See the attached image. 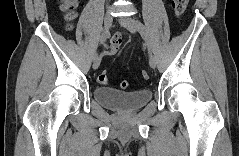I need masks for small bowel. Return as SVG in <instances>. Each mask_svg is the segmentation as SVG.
<instances>
[{
    "instance_id": "obj_1",
    "label": "small bowel",
    "mask_w": 239,
    "mask_h": 156,
    "mask_svg": "<svg viewBox=\"0 0 239 156\" xmlns=\"http://www.w3.org/2000/svg\"><path fill=\"white\" fill-rule=\"evenodd\" d=\"M122 43V37L119 33H117L114 37H113V40H112V43L109 47V49H107L104 54L105 55H109V56H113V55H116L118 50H119V47Z\"/></svg>"
}]
</instances>
